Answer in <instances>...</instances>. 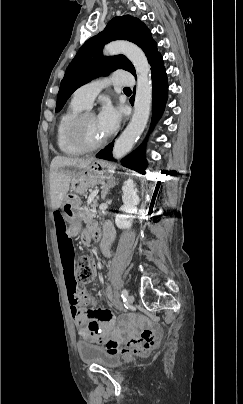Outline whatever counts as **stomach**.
Returning a JSON list of instances; mask_svg holds the SVG:
<instances>
[{"mask_svg":"<svg viewBox=\"0 0 243 404\" xmlns=\"http://www.w3.org/2000/svg\"><path fill=\"white\" fill-rule=\"evenodd\" d=\"M114 167L107 161L94 159L85 168L76 169L71 180V190L77 193H84L88 188L93 187L106 179L111 178ZM79 203L72 196H67L63 202L62 210L70 222L69 235L75 236L81 230V220L78 217Z\"/></svg>","mask_w":243,"mask_h":404,"instance_id":"obj_1","label":"stomach"}]
</instances>
